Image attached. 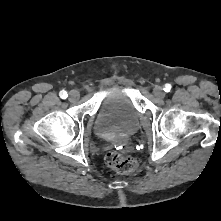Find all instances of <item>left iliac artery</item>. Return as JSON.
Here are the masks:
<instances>
[{"instance_id":"1","label":"left iliac artery","mask_w":221,"mask_h":221,"mask_svg":"<svg viewBox=\"0 0 221 221\" xmlns=\"http://www.w3.org/2000/svg\"><path fill=\"white\" fill-rule=\"evenodd\" d=\"M170 89H171V86H170V85H167V86L164 88V91L169 92Z\"/></svg>"}]
</instances>
